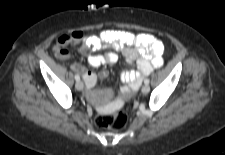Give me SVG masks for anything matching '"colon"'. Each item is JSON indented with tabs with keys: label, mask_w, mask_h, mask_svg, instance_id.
<instances>
[{
	"label": "colon",
	"mask_w": 225,
	"mask_h": 155,
	"mask_svg": "<svg viewBox=\"0 0 225 155\" xmlns=\"http://www.w3.org/2000/svg\"><path fill=\"white\" fill-rule=\"evenodd\" d=\"M64 40V38H59L57 41L62 43ZM62 52H66V50L63 49ZM127 123L128 115L123 110H120L117 113L105 111L104 114L97 116L95 119V124L98 127L110 130H121L127 125Z\"/></svg>",
	"instance_id": "obj_1"
}]
</instances>
